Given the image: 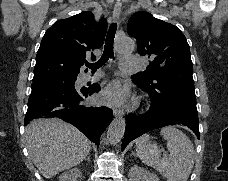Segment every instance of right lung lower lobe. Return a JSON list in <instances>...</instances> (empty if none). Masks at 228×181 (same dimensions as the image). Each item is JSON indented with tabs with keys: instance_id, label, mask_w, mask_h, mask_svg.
<instances>
[{
	"instance_id": "98d812e1",
	"label": "right lung lower lobe",
	"mask_w": 228,
	"mask_h": 181,
	"mask_svg": "<svg viewBox=\"0 0 228 181\" xmlns=\"http://www.w3.org/2000/svg\"><path fill=\"white\" fill-rule=\"evenodd\" d=\"M76 79L32 83L24 124L43 117L62 118L98 147L100 135L113 120V112L105 106L96 107L87 103V97L100 90L98 84L75 88Z\"/></svg>"
}]
</instances>
